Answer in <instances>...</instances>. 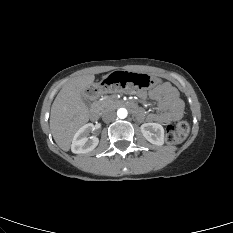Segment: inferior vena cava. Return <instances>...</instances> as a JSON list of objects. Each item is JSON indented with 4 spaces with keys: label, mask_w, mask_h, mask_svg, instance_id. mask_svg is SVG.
<instances>
[{
    "label": "inferior vena cava",
    "mask_w": 233,
    "mask_h": 233,
    "mask_svg": "<svg viewBox=\"0 0 233 233\" xmlns=\"http://www.w3.org/2000/svg\"><path fill=\"white\" fill-rule=\"evenodd\" d=\"M115 117H116V114L112 110H107L102 115V119L105 122H111V121H113L115 119Z\"/></svg>",
    "instance_id": "602c4592"
}]
</instances>
